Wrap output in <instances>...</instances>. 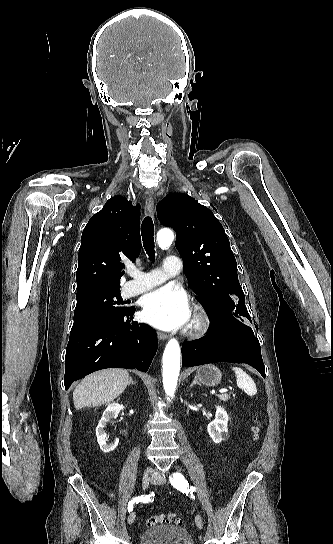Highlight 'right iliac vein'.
<instances>
[{
  "label": "right iliac vein",
  "mask_w": 333,
  "mask_h": 544,
  "mask_svg": "<svg viewBox=\"0 0 333 544\" xmlns=\"http://www.w3.org/2000/svg\"><path fill=\"white\" fill-rule=\"evenodd\" d=\"M152 480V477H150V472L146 471L143 475L142 479V487L143 489H146L149 486V482ZM135 512L133 511L129 517H128V524H132L135 520Z\"/></svg>",
  "instance_id": "1"
}]
</instances>
